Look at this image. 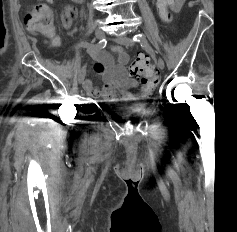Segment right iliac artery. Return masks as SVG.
<instances>
[{
    "mask_svg": "<svg viewBox=\"0 0 237 232\" xmlns=\"http://www.w3.org/2000/svg\"><path fill=\"white\" fill-rule=\"evenodd\" d=\"M106 45H107L106 39H102L95 45L87 43V42H79L74 46V48L86 47V48H93L95 50H101V49L105 48Z\"/></svg>",
    "mask_w": 237,
    "mask_h": 232,
    "instance_id": "obj_1",
    "label": "right iliac artery"
}]
</instances>
